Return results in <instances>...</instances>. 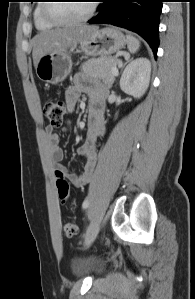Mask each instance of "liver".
I'll return each instance as SVG.
<instances>
[{"label": "liver", "instance_id": "1", "mask_svg": "<svg viewBox=\"0 0 195 299\" xmlns=\"http://www.w3.org/2000/svg\"><path fill=\"white\" fill-rule=\"evenodd\" d=\"M98 27L79 25L43 31L33 39L32 57L36 67L40 58L49 53L65 51L86 39Z\"/></svg>", "mask_w": 195, "mask_h": 299}]
</instances>
